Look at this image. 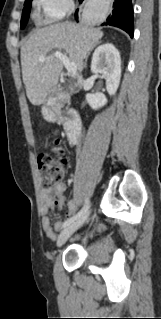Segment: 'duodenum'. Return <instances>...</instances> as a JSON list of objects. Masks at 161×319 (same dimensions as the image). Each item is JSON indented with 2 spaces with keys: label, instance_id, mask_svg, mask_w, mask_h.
Here are the masks:
<instances>
[{
  "label": "duodenum",
  "instance_id": "obj_1",
  "mask_svg": "<svg viewBox=\"0 0 161 319\" xmlns=\"http://www.w3.org/2000/svg\"><path fill=\"white\" fill-rule=\"evenodd\" d=\"M65 100V95L57 91L52 99L44 104V114L49 120H58L54 114V106L63 105ZM62 122L65 125L68 142L72 145L76 144L82 133V123L78 112L74 109H69Z\"/></svg>",
  "mask_w": 161,
  "mask_h": 319
}]
</instances>
